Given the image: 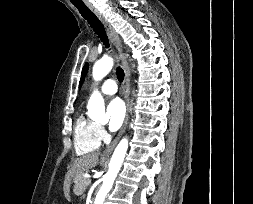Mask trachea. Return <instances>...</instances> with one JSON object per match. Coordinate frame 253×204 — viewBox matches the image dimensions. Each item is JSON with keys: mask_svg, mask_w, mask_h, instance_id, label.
Listing matches in <instances>:
<instances>
[{"mask_svg": "<svg viewBox=\"0 0 253 204\" xmlns=\"http://www.w3.org/2000/svg\"><path fill=\"white\" fill-rule=\"evenodd\" d=\"M75 7L79 10L80 14L88 21L90 26L93 28L95 33L101 39L103 44L109 48V41L105 32V29L98 19V17L85 5H75ZM117 78L120 82L124 79V71L122 68L118 67L116 71Z\"/></svg>", "mask_w": 253, "mask_h": 204, "instance_id": "1", "label": "trachea"}]
</instances>
